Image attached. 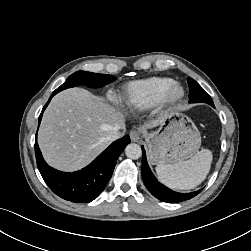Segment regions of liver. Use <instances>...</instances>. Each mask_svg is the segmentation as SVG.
<instances>
[{"instance_id":"obj_1","label":"liver","mask_w":251,"mask_h":251,"mask_svg":"<svg viewBox=\"0 0 251 251\" xmlns=\"http://www.w3.org/2000/svg\"><path fill=\"white\" fill-rule=\"evenodd\" d=\"M125 117L123 111L83 88L64 90L54 96L43 114L39 147L51 166L63 171L81 169L109 146L106 137L125 125ZM163 119L144 126L154 128Z\"/></svg>"}]
</instances>
